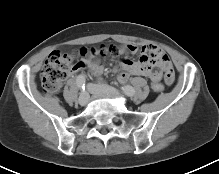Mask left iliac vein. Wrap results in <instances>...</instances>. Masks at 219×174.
Returning <instances> with one entry per match:
<instances>
[{"instance_id":"4c4485c4","label":"left iliac vein","mask_w":219,"mask_h":174,"mask_svg":"<svg viewBox=\"0 0 219 174\" xmlns=\"http://www.w3.org/2000/svg\"><path fill=\"white\" fill-rule=\"evenodd\" d=\"M88 90L91 94H103V93H108V94H114L118 95L119 92L107 85H97V84H88Z\"/></svg>"}]
</instances>
